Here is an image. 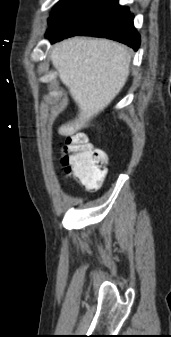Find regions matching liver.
Segmentation results:
<instances>
[{"label": "liver", "mask_w": 171, "mask_h": 337, "mask_svg": "<svg viewBox=\"0 0 171 337\" xmlns=\"http://www.w3.org/2000/svg\"><path fill=\"white\" fill-rule=\"evenodd\" d=\"M51 61L79 108L78 117L58 129L63 136L88 126L118 95L129 75V52L105 39L64 40L54 46Z\"/></svg>", "instance_id": "1"}]
</instances>
